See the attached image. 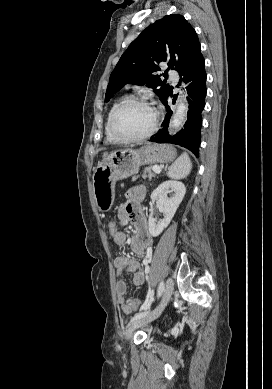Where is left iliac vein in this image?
Masks as SVG:
<instances>
[{"mask_svg": "<svg viewBox=\"0 0 272 389\" xmlns=\"http://www.w3.org/2000/svg\"><path fill=\"white\" fill-rule=\"evenodd\" d=\"M173 290H174V281L172 278H168L164 286V291L162 292V301L160 305L153 311L131 322L125 333L126 339H129L136 329L150 323L151 321L155 320L160 316L166 304L168 303L169 299L171 298Z\"/></svg>", "mask_w": 272, "mask_h": 389, "instance_id": "1", "label": "left iliac vein"}]
</instances>
